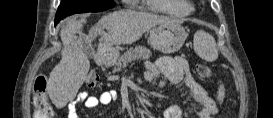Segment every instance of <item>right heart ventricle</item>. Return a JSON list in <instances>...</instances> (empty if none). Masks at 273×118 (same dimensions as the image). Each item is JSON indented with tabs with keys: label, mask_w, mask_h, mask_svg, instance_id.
<instances>
[{
	"label": "right heart ventricle",
	"mask_w": 273,
	"mask_h": 118,
	"mask_svg": "<svg viewBox=\"0 0 273 118\" xmlns=\"http://www.w3.org/2000/svg\"><path fill=\"white\" fill-rule=\"evenodd\" d=\"M150 3L153 10L174 16H185L192 12V7L184 0H153Z\"/></svg>",
	"instance_id": "right-heart-ventricle-1"
}]
</instances>
